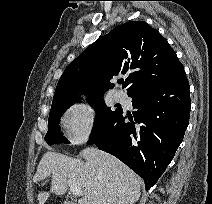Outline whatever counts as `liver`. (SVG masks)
<instances>
[{
	"label": "liver",
	"instance_id": "liver-1",
	"mask_svg": "<svg viewBox=\"0 0 212 204\" xmlns=\"http://www.w3.org/2000/svg\"><path fill=\"white\" fill-rule=\"evenodd\" d=\"M85 159L46 152L33 178L35 183L52 177L49 192L38 193V203L44 204L50 193L63 195L71 179L82 190L79 204H134L141 195L137 175L114 156L97 148L83 149Z\"/></svg>",
	"mask_w": 212,
	"mask_h": 204
}]
</instances>
